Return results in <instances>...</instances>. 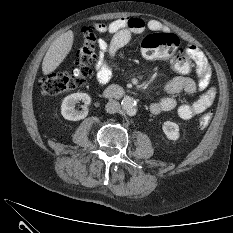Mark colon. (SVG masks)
Instances as JSON below:
<instances>
[{
    "mask_svg": "<svg viewBox=\"0 0 233 233\" xmlns=\"http://www.w3.org/2000/svg\"><path fill=\"white\" fill-rule=\"evenodd\" d=\"M95 36L94 28L84 30V41L77 53V61L70 72H54L40 80L42 91L48 95H56L81 87L89 78L90 66L94 60ZM142 52L150 60L165 59L171 68L179 74L187 75L194 67L188 54L180 50L179 39L172 33H152L142 42ZM212 113L202 114L196 122L200 128L208 126Z\"/></svg>",
    "mask_w": 233,
    "mask_h": 233,
    "instance_id": "colon-1",
    "label": "colon"
}]
</instances>
